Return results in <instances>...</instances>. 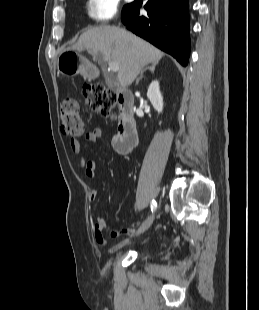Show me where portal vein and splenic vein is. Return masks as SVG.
Listing matches in <instances>:
<instances>
[{
  "label": "portal vein and splenic vein",
  "mask_w": 259,
  "mask_h": 310,
  "mask_svg": "<svg viewBox=\"0 0 259 310\" xmlns=\"http://www.w3.org/2000/svg\"><path fill=\"white\" fill-rule=\"evenodd\" d=\"M109 69L112 71V72H117L119 70V64L117 62H109Z\"/></svg>",
  "instance_id": "1"
}]
</instances>
